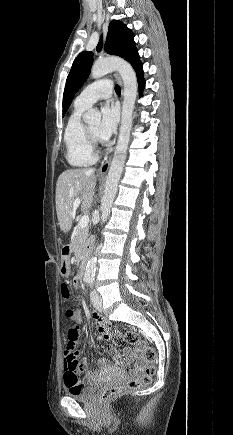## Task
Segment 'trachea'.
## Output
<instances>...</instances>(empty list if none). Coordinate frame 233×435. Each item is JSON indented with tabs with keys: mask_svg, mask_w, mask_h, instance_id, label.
I'll use <instances>...</instances> for the list:
<instances>
[{
	"mask_svg": "<svg viewBox=\"0 0 233 435\" xmlns=\"http://www.w3.org/2000/svg\"><path fill=\"white\" fill-rule=\"evenodd\" d=\"M115 92L116 93H120L121 92V88L118 84L115 85Z\"/></svg>",
	"mask_w": 233,
	"mask_h": 435,
	"instance_id": "1",
	"label": "trachea"
}]
</instances>
